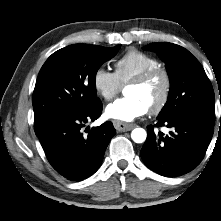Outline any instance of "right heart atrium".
<instances>
[{"label": "right heart atrium", "mask_w": 221, "mask_h": 221, "mask_svg": "<svg viewBox=\"0 0 221 221\" xmlns=\"http://www.w3.org/2000/svg\"><path fill=\"white\" fill-rule=\"evenodd\" d=\"M93 86L97 94L106 101L113 99L122 89L115 73L99 67L93 74Z\"/></svg>", "instance_id": "obj_1"}]
</instances>
